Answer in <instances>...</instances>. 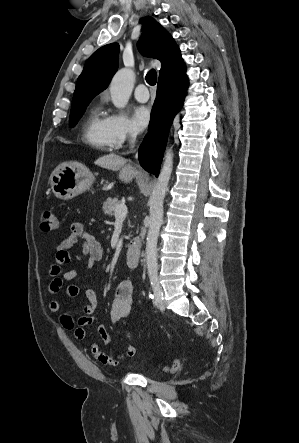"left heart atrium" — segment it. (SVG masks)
<instances>
[{
    "label": "left heart atrium",
    "instance_id": "left-heart-atrium-1",
    "mask_svg": "<svg viewBox=\"0 0 299 443\" xmlns=\"http://www.w3.org/2000/svg\"><path fill=\"white\" fill-rule=\"evenodd\" d=\"M150 111L145 106H137L132 113V122L137 131H143L150 123Z\"/></svg>",
    "mask_w": 299,
    "mask_h": 443
}]
</instances>
